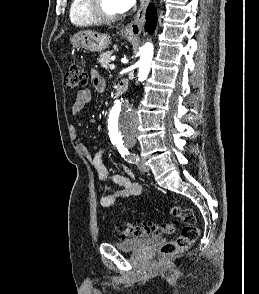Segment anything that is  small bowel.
<instances>
[{"label":"small bowel","mask_w":259,"mask_h":294,"mask_svg":"<svg viewBox=\"0 0 259 294\" xmlns=\"http://www.w3.org/2000/svg\"><path fill=\"white\" fill-rule=\"evenodd\" d=\"M92 83L97 92H104L106 85L96 71L92 72ZM92 93L89 89H81L76 93L75 100L72 104V114H80L85 106L91 101ZM70 135L75 138L77 135L76 129L70 127ZM77 150L80 154L85 156L95 169L101 184L99 191L101 193L100 205L102 207H110L117 200L128 198L131 196H138L142 192V185L139 182L132 180L133 173L128 167L123 168L124 174H111L103 163V155L105 148L99 150L96 154H92L89 147L84 143L77 145ZM106 182H112L118 186L117 189L111 190Z\"/></svg>","instance_id":"c3829d8e"}]
</instances>
